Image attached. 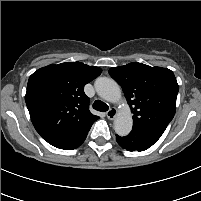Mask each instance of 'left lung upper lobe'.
Wrapping results in <instances>:
<instances>
[{
  "mask_svg": "<svg viewBox=\"0 0 201 201\" xmlns=\"http://www.w3.org/2000/svg\"><path fill=\"white\" fill-rule=\"evenodd\" d=\"M109 74L122 87L134 114L132 130L163 134L176 111L179 86L174 73L134 62L111 68Z\"/></svg>",
  "mask_w": 201,
  "mask_h": 201,
  "instance_id": "1",
  "label": "left lung upper lobe"
}]
</instances>
